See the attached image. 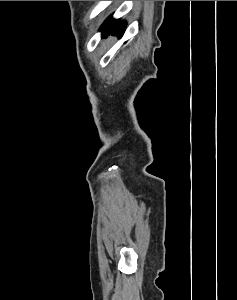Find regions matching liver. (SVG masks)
I'll return each instance as SVG.
<instances>
[{
	"label": "liver",
	"instance_id": "1",
	"mask_svg": "<svg viewBox=\"0 0 237 300\" xmlns=\"http://www.w3.org/2000/svg\"><path fill=\"white\" fill-rule=\"evenodd\" d=\"M111 39H114V37H110L109 41H111Z\"/></svg>",
	"mask_w": 237,
	"mask_h": 300
}]
</instances>
